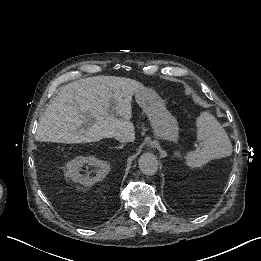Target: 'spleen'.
Returning <instances> with one entry per match:
<instances>
[{"label": "spleen", "instance_id": "spleen-1", "mask_svg": "<svg viewBox=\"0 0 261 261\" xmlns=\"http://www.w3.org/2000/svg\"><path fill=\"white\" fill-rule=\"evenodd\" d=\"M197 140L203 142L201 149L189 152L185 159L189 167H202L213 159H221L232 154L233 147L227 132L217 119L203 112L196 119Z\"/></svg>", "mask_w": 261, "mask_h": 261}]
</instances>
